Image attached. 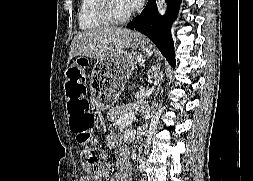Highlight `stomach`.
I'll return each instance as SVG.
<instances>
[{
    "mask_svg": "<svg viewBox=\"0 0 253 181\" xmlns=\"http://www.w3.org/2000/svg\"><path fill=\"white\" fill-rule=\"evenodd\" d=\"M137 44L145 55L153 54L152 47L148 43L139 40ZM134 68V57L125 50L115 57L98 60L91 77L93 109L100 112L111 108L122 93Z\"/></svg>",
    "mask_w": 253,
    "mask_h": 181,
    "instance_id": "0dacf381",
    "label": "stomach"
}]
</instances>
